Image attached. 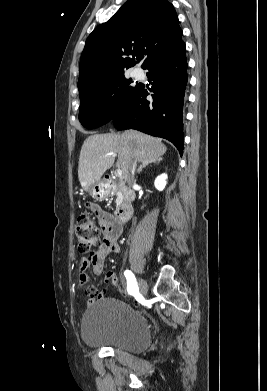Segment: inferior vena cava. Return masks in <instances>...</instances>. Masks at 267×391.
Listing matches in <instances>:
<instances>
[{
  "mask_svg": "<svg viewBox=\"0 0 267 391\" xmlns=\"http://www.w3.org/2000/svg\"><path fill=\"white\" fill-rule=\"evenodd\" d=\"M135 167H136V161L132 162V167H131V178H133L134 176V173H135ZM130 182V180L128 181V183Z\"/></svg>",
  "mask_w": 267,
  "mask_h": 391,
  "instance_id": "1",
  "label": "inferior vena cava"
}]
</instances>
